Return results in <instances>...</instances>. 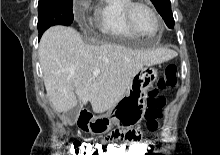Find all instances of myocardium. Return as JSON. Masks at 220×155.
Segmentation results:
<instances>
[{
  "label": "myocardium",
  "instance_id": "myocardium-1",
  "mask_svg": "<svg viewBox=\"0 0 220 155\" xmlns=\"http://www.w3.org/2000/svg\"><path fill=\"white\" fill-rule=\"evenodd\" d=\"M140 6L147 8L151 12V14L153 15L157 23V31L153 35L159 34L162 30L161 17L157 13L155 8L147 0H130V2L127 4L125 8V21H126L128 28L137 36H142V37L147 36L137 30L134 24V21H133V12L137 7H140Z\"/></svg>",
  "mask_w": 220,
  "mask_h": 155
}]
</instances>
